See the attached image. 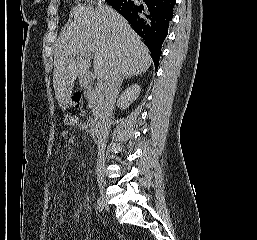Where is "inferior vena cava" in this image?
<instances>
[{"label": "inferior vena cava", "mask_w": 257, "mask_h": 240, "mask_svg": "<svg viewBox=\"0 0 257 240\" xmlns=\"http://www.w3.org/2000/svg\"><path fill=\"white\" fill-rule=\"evenodd\" d=\"M122 80V75L119 69L112 71L109 79L105 82L103 87V104L101 108V132L105 139L108 136L111 118L113 115L114 105L119 92V86ZM104 167V156L98 154L97 171H101Z\"/></svg>", "instance_id": "602c4592"}]
</instances>
